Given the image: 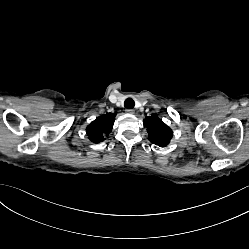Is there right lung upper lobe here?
Returning a JSON list of instances; mask_svg holds the SVG:
<instances>
[{"label": "right lung upper lobe", "instance_id": "cb5924a9", "mask_svg": "<svg viewBox=\"0 0 249 249\" xmlns=\"http://www.w3.org/2000/svg\"><path fill=\"white\" fill-rule=\"evenodd\" d=\"M115 116V113H107L99 116L95 121L87 126L86 132L92 142H102L105 137L108 136V134L112 131Z\"/></svg>", "mask_w": 249, "mask_h": 249}]
</instances>
